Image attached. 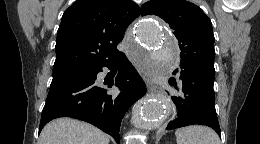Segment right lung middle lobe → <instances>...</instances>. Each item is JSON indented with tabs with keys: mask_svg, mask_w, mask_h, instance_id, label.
<instances>
[{
	"mask_svg": "<svg viewBox=\"0 0 260 144\" xmlns=\"http://www.w3.org/2000/svg\"><path fill=\"white\" fill-rule=\"evenodd\" d=\"M83 68L84 67L53 71V80L52 81L75 74V73H79L83 70Z\"/></svg>",
	"mask_w": 260,
	"mask_h": 144,
	"instance_id": "1",
	"label": "right lung middle lobe"
}]
</instances>
